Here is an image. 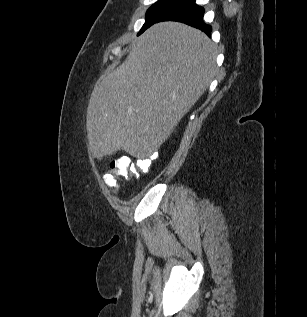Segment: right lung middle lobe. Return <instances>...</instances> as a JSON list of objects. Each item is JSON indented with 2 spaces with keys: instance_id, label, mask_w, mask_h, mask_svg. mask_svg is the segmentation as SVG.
<instances>
[{
  "instance_id": "1",
  "label": "right lung middle lobe",
  "mask_w": 307,
  "mask_h": 317,
  "mask_svg": "<svg viewBox=\"0 0 307 317\" xmlns=\"http://www.w3.org/2000/svg\"><path fill=\"white\" fill-rule=\"evenodd\" d=\"M174 0H158L154 3L146 13V21L140 30L141 34L149 25H151L170 5H172ZM138 34V35H139Z\"/></svg>"
}]
</instances>
